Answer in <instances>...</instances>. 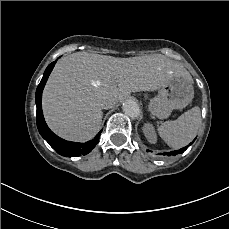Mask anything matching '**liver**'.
Masks as SVG:
<instances>
[{
  "instance_id": "6515ba94",
  "label": "liver",
  "mask_w": 229,
  "mask_h": 229,
  "mask_svg": "<svg viewBox=\"0 0 229 229\" xmlns=\"http://www.w3.org/2000/svg\"><path fill=\"white\" fill-rule=\"evenodd\" d=\"M190 73L161 55L115 58L85 52L63 57L43 96L49 126L63 138L86 141L101 128L102 103L114 107L131 93L157 92L166 82Z\"/></svg>"
}]
</instances>
